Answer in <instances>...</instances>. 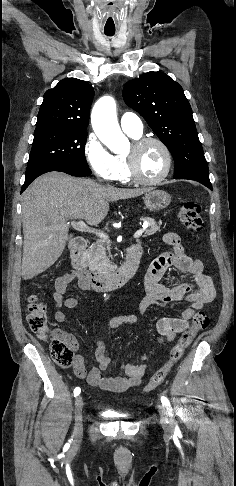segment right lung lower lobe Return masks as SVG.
<instances>
[{
	"instance_id": "right-lung-lower-lobe-1",
	"label": "right lung lower lobe",
	"mask_w": 236,
	"mask_h": 486,
	"mask_svg": "<svg viewBox=\"0 0 236 486\" xmlns=\"http://www.w3.org/2000/svg\"><path fill=\"white\" fill-rule=\"evenodd\" d=\"M60 171L77 177H84L91 174L89 167L68 165V164H56L50 162L36 163L27 165L25 182L21 188V193L29 186V184L38 176L50 172Z\"/></svg>"
}]
</instances>
